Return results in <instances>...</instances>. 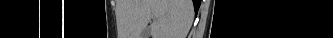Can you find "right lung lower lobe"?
Returning <instances> with one entry per match:
<instances>
[{"label":"right lung lower lobe","mask_w":333,"mask_h":38,"mask_svg":"<svg viewBox=\"0 0 333 38\" xmlns=\"http://www.w3.org/2000/svg\"><path fill=\"white\" fill-rule=\"evenodd\" d=\"M193 2H194L195 11H196V4H199V1L193 0Z\"/></svg>","instance_id":"right-lung-lower-lobe-1"}]
</instances>
